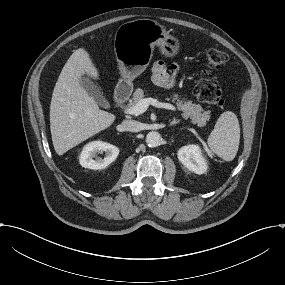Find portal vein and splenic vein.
<instances>
[{"label":"portal vein and splenic vein","mask_w":285,"mask_h":285,"mask_svg":"<svg viewBox=\"0 0 285 285\" xmlns=\"http://www.w3.org/2000/svg\"><path fill=\"white\" fill-rule=\"evenodd\" d=\"M149 105H152L157 108L175 110V106H173L170 103L159 102L157 99H154V98H144V99H141L135 106L131 108H127L125 110V113L138 116L144 113L149 107Z\"/></svg>","instance_id":"18ae733b"}]
</instances>
